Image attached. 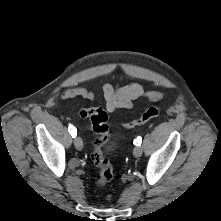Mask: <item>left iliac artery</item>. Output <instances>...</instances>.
I'll return each mask as SVG.
<instances>
[{
  "instance_id": "obj_1",
  "label": "left iliac artery",
  "mask_w": 221,
  "mask_h": 221,
  "mask_svg": "<svg viewBox=\"0 0 221 221\" xmlns=\"http://www.w3.org/2000/svg\"><path fill=\"white\" fill-rule=\"evenodd\" d=\"M141 142H142V138L139 136V137H137V138L134 140L133 143H134L135 145H139V146H140V145H141Z\"/></svg>"
}]
</instances>
